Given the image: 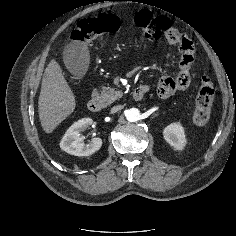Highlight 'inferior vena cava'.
Instances as JSON below:
<instances>
[{
  "label": "inferior vena cava",
  "instance_id": "inferior-vena-cava-1",
  "mask_svg": "<svg viewBox=\"0 0 236 236\" xmlns=\"http://www.w3.org/2000/svg\"><path fill=\"white\" fill-rule=\"evenodd\" d=\"M122 109V106L121 105H118V106H114V107H112L111 108V113H116V112H118L119 110H121Z\"/></svg>",
  "mask_w": 236,
  "mask_h": 236
}]
</instances>
